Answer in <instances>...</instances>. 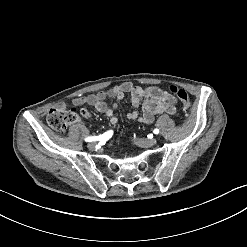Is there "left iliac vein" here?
Masks as SVG:
<instances>
[{
	"label": "left iliac vein",
	"instance_id": "1",
	"mask_svg": "<svg viewBox=\"0 0 247 247\" xmlns=\"http://www.w3.org/2000/svg\"><path fill=\"white\" fill-rule=\"evenodd\" d=\"M156 142L157 141L155 138H151V139L143 138V139H138L136 141L137 145H139L140 147H143V148L151 147V146L155 145Z\"/></svg>",
	"mask_w": 247,
	"mask_h": 247
}]
</instances>
